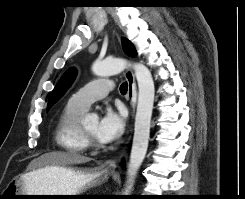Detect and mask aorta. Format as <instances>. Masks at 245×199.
<instances>
[{"label":"aorta","instance_id":"obj_1","mask_svg":"<svg viewBox=\"0 0 245 199\" xmlns=\"http://www.w3.org/2000/svg\"><path fill=\"white\" fill-rule=\"evenodd\" d=\"M127 66H132L135 72L139 92L135 116L134 137L127 168V180L124 188V195H130L129 193L133 190L138 170L147 153L155 95L154 81L150 70L144 64H131L122 58L96 61L92 66L93 73L100 77L119 74ZM92 117L96 118L95 115Z\"/></svg>","mask_w":245,"mask_h":199}]
</instances>
